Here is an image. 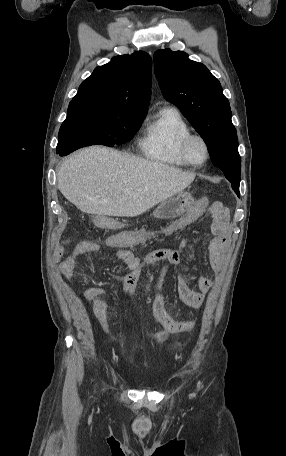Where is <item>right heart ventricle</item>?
<instances>
[{"label":"right heart ventricle","mask_w":286,"mask_h":456,"mask_svg":"<svg viewBox=\"0 0 286 456\" xmlns=\"http://www.w3.org/2000/svg\"><path fill=\"white\" fill-rule=\"evenodd\" d=\"M190 133V128L181 113L173 107L161 109L148 122L139 145L143 155L154 162L187 166L179 151L181 139Z\"/></svg>","instance_id":"1"}]
</instances>
